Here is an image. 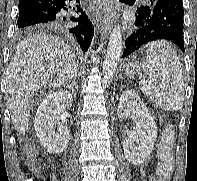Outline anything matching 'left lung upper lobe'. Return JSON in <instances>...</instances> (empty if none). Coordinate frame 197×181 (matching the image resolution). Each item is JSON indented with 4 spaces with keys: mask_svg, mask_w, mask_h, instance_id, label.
Returning <instances> with one entry per match:
<instances>
[{
    "mask_svg": "<svg viewBox=\"0 0 197 181\" xmlns=\"http://www.w3.org/2000/svg\"><path fill=\"white\" fill-rule=\"evenodd\" d=\"M158 0H151L149 6H141L137 9L136 18H146L152 11L155 2Z\"/></svg>",
    "mask_w": 197,
    "mask_h": 181,
    "instance_id": "left-lung-upper-lobe-1",
    "label": "left lung upper lobe"
}]
</instances>
